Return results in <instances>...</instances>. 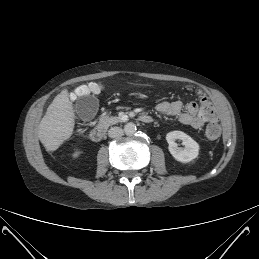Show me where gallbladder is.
<instances>
[{
  "mask_svg": "<svg viewBox=\"0 0 259 259\" xmlns=\"http://www.w3.org/2000/svg\"><path fill=\"white\" fill-rule=\"evenodd\" d=\"M98 106V100L94 96H89L77 103V110L83 120L90 121L95 117Z\"/></svg>",
  "mask_w": 259,
  "mask_h": 259,
  "instance_id": "1",
  "label": "gallbladder"
}]
</instances>
